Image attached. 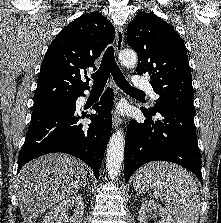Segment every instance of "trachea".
<instances>
[{
  "label": "trachea",
  "mask_w": 221,
  "mask_h": 223,
  "mask_svg": "<svg viewBox=\"0 0 221 223\" xmlns=\"http://www.w3.org/2000/svg\"><path fill=\"white\" fill-rule=\"evenodd\" d=\"M110 74L113 76L116 84L125 92L145 95L143 91L132 87L125 79L123 73L116 63L114 57V48L112 46L107 48L103 55L99 70L92 75V79L94 81L93 88H104Z\"/></svg>",
  "instance_id": "3493384b"
}]
</instances>
